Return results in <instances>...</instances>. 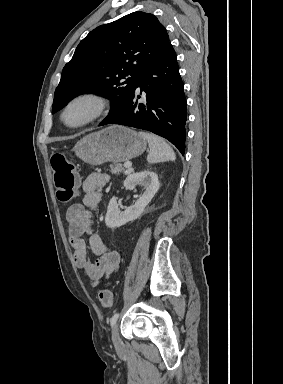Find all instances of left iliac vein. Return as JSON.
Returning a JSON list of instances; mask_svg holds the SVG:
<instances>
[{
  "mask_svg": "<svg viewBox=\"0 0 283 384\" xmlns=\"http://www.w3.org/2000/svg\"><path fill=\"white\" fill-rule=\"evenodd\" d=\"M112 341L117 351L123 350V342L119 335L118 324H115L112 328Z\"/></svg>",
  "mask_w": 283,
  "mask_h": 384,
  "instance_id": "4c4485c4",
  "label": "left iliac vein"
}]
</instances>
